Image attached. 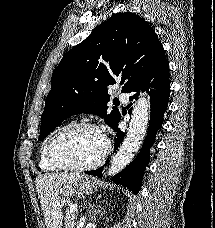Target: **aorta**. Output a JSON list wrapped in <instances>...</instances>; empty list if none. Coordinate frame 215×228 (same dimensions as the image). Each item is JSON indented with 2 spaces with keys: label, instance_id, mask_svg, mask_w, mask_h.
Segmentation results:
<instances>
[{
  "label": "aorta",
  "instance_id": "1",
  "mask_svg": "<svg viewBox=\"0 0 215 228\" xmlns=\"http://www.w3.org/2000/svg\"><path fill=\"white\" fill-rule=\"evenodd\" d=\"M151 104L148 94H140L132 112L127 136L116 156H113L106 176H116L132 162L146 134Z\"/></svg>",
  "mask_w": 215,
  "mask_h": 228
}]
</instances>
